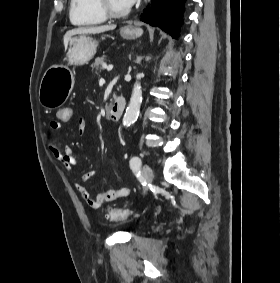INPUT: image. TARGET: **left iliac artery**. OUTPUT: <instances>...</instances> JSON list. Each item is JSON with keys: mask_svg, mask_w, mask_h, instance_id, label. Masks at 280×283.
Returning a JSON list of instances; mask_svg holds the SVG:
<instances>
[{"mask_svg": "<svg viewBox=\"0 0 280 283\" xmlns=\"http://www.w3.org/2000/svg\"><path fill=\"white\" fill-rule=\"evenodd\" d=\"M140 166H141V159L139 157H137V156L132 157L131 160H130V167H131V169L134 172H140L139 171Z\"/></svg>", "mask_w": 280, "mask_h": 283, "instance_id": "1", "label": "left iliac artery"}]
</instances>
